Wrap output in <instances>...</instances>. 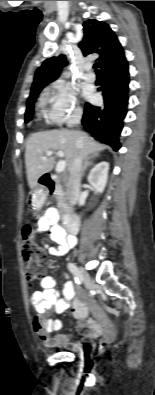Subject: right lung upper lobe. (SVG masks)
<instances>
[{
  "instance_id": "obj_1",
  "label": "right lung upper lobe",
  "mask_w": 155,
  "mask_h": 395,
  "mask_svg": "<svg viewBox=\"0 0 155 395\" xmlns=\"http://www.w3.org/2000/svg\"><path fill=\"white\" fill-rule=\"evenodd\" d=\"M83 31V40L78 45L84 56L92 53L100 55L98 65L101 70L126 61L120 42L106 23L87 20L83 23ZM66 65L65 55L45 60L35 73L30 97L54 81Z\"/></svg>"
}]
</instances>
